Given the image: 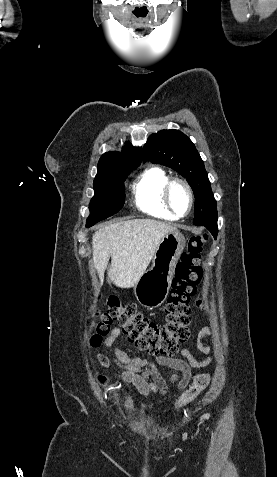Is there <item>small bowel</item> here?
Masks as SVG:
<instances>
[{
    "instance_id": "1",
    "label": "small bowel",
    "mask_w": 277,
    "mask_h": 477,
    "mask_svg": "<svg viewBox=\"0 0 277 477\" xmlns=\"http://www.w3.org/2000/svg\"><path fill=\"white\" fill-rule=\"evenodd\" d=\"M197 305L203 306V302L197 300ZM120 334L121 329L119 327L113 328L109 336L104 340V346L107 348L112 347ZM212 334V329L209 327L202 328L198 333L197 348L207 355L203 360H197L186 348L180 351L186 360L159 355L156 357L155 362H151L144 357L131 358L123 350L115 348V363L121 368L122 379L127 383H131L144 396H150L153 393L162 394L166 392L170 385H176L179 390H182L187 386L191 378L192 368H203L212 362L213 348L205 343V339L212 336ZM97 357L102 364L106 365L108 363V359L105 356L98 354ZM158 365L173 371L169 383L161 377ZM179 374H181V377Z\"/></svg>"
}]
</instances>
